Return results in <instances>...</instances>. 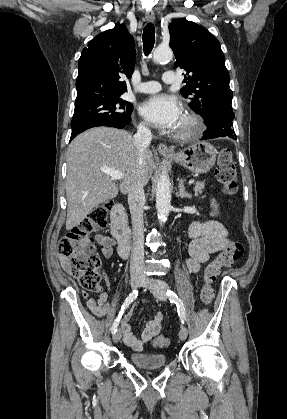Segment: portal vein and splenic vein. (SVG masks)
Masks as SVG:
<instances>
[{"mask_svg":"<svg viewBox=\"0 0 287 419\" xmlns=\"http://www.w3.org/2000/svg\"><path fill=\"white\" fill-rule=\"evenodd\" d=\"M101 171L110 175L111 178L114 179V180H121L123 178V174L119 171H115V170H112V169H102ZM193 183H194L193 179L189 180V185H191Z\"/></svg>","mask_w":287,"mask_h":419,"instance_id":"portal-vein-and-splenic-vein-1","label":"portal vein and splenic vein"}]
</instances>
